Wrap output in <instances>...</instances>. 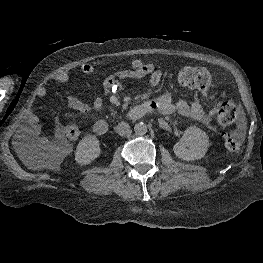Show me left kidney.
<instances>
[{"mask_svg": "<svg viewBox=\"0 0 263 263\" xmlns=\"http://www.w3.org/2000/svg\"><path fill=\"white\" fill-rule=\"evenodd\" d=\"M210 146L209 137L200 128H187L179 142L173 146L175 155L185 161L201 159Z\"/></svg>", "mask_w": 263, "mask_h": 263, "instance_id": "left-kidney-1", "label": "left kidney"}]
</instances>
